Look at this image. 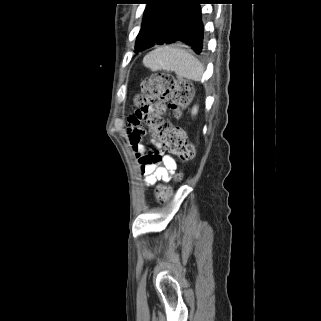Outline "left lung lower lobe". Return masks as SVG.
Wrapping results in <instances>:
<instances>
[{"mask_svg":"<svg viewBox=\"0 0 321 321\" xmlns=\"http://www.w3.org/2000/svg\"><path fill=\"white\" fill-rule=\"evenodd\" d=\"M207 0H179L171 14L163 35L156 44H183L194 52H204V26L199 4Z\"/></svg>","mask_w":321,"mask_h":321,"instance_id":"left-lung-lower-lobe-1","label":"left lung lower lobe"}]
</instances>
